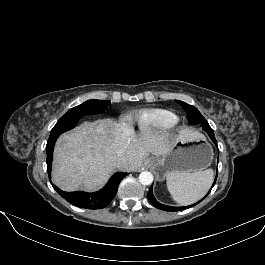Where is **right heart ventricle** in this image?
Returning <instances> with one entry per match:
<instances>
[{"label": "right heart ventricle", "mask_w": 265, "mask_h": 265, "mask_svg": "<svg viewBox=\"0 0 265 265\" xmlns=\"http://www.w3.org/2000/svg\"><path fill=\"white\" fill-rule=\"evenodd\" d=\"M134 121L141 134L152 135L171 128L178 117L170 110L156 108L136 112Z\"/></svg>", "instance_id": "obj_1"}]
</instances>
